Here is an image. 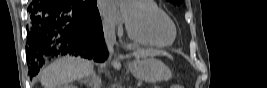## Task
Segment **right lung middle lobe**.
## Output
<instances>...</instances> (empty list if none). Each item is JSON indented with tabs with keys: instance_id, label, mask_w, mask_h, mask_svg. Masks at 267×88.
<instances>
[{
	"instance_id": "dd1d6c3e",
	"label": "right lung middle lobe",
	"mask_w": 267,
	"mask_h": 88,
	"mask_svg": "<svg viewBox=\"0 0 267 88\" xmlns=\"http://www.w3.org/2000/svg\"><path fill=\"white\" fill-rule=\"evenodd\" d=\"M72 3L81 8H97V1L96 0H86L82 2L81 0H71Z\"/></svg>"
}]
</instances>
